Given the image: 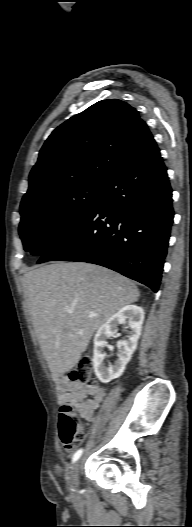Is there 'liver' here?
<instances>
[{
  "instance_id": "liver-1",
  "label": "liver",
  "mask_w": 192,
  "mask_h": 527,
  "mask_svg": "<svg viewBox=\"0 0 192 527\" xmlns=\"http://www.w3.org/2000/svg\"><path fill=\"white\" fill-rule=\"evenodd\" d=\"M23 288L41 350L57 374L72 370L93 333L140 296L126 277L88 263L57 262L31 270Z\"/></svg>"
}]
</instances>
